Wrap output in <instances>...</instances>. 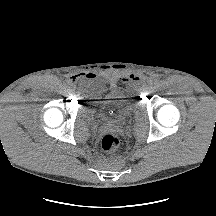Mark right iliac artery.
<instances>
[{"label": "right iliac artery", "mask_w": 216, "mask_h": 216, "mask_svg": "<svg viewBox=\"0 0 216 216\" xmlns=\"http://www.w3.org/2000/svg\"><path fill=\"white\" fill-rule=\"evenodd\" d=\"M71 86H66V91H71Z\"/></svg>", "instance_id": "1"}]
</instances>
